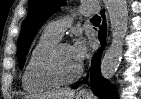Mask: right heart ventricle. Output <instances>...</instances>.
Listing matches in <instances>:
<instances>
[{
    "mask_svg": "<svg viewBox=\"0 0 141 99\" xmlns=\"http://www.w3.org/2000/svg\"><path fill=\"white\" fill-rule=\"evenodd\" d=\"M58 41L46 32H43L34 46L29 56L28 62L23 72L22 84L26 91L30 93H40L54 88L56 85L43 80L37 72L39 60L43 53Z\"/></svg>",
    "mask_w": 141,
    "mask_h": 99,
    "instance_id": "right-heart-ventricle-1",
    "label": "right heart ventricle"
}]
</instances>
